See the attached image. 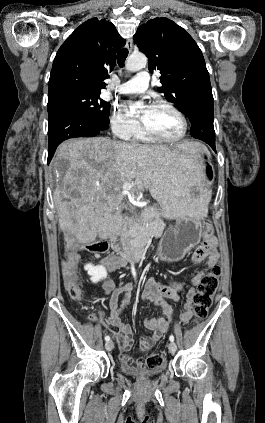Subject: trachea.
Listing matches in <instances>:
<instances>
[{"label": "trachea", "instance_id": "3493384b", "mask_svg": "<svg viewBox=\"0 0 265 423\" xmlns=\"http://www.w3.org/2000/svg\"><path fill=\"white\" fill-rule=\"evenodd\" d=\"M128 56V49L122 48L117 53V63L122 68L124 66L125 60Z\"/></svg>", "mask_w": 265, "mask_h": 423}]
</instances>
